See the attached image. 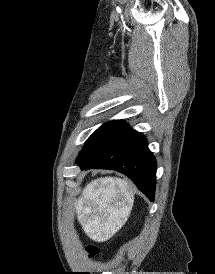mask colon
<instances>
[{
  "label": "colon",
  "instance_id": "colon-1",
  "mask_svg": "<svg viewBox=\"0 0 215 274\" xmlns=\"http://www.w3.org/2000/svg\"><path fill=\"white\" fill-rule=\"evenodd\" d=\"M86 253L88 255V257L90 258H93L94 256H96V254L98 253V249L96 246H89L87 249H86Z\"/></svg>",
  "mask_w": 215,
  "mask_h": 274
}]
</instances>
